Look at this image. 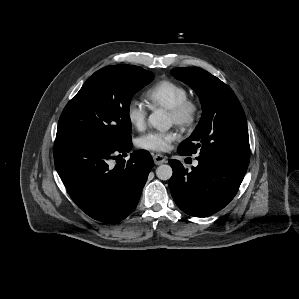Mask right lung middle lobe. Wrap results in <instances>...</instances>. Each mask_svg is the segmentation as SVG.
I'll use <instances>...</instances> for the list:
<instances>
[{
	"instance_id": "1",
	"label": "right lung middle lobe",
	"mask_w": 299,
	"mask_h": 299,
	"mask_svg": "<svg viewBox=\"0 0 299 299\" xmlns=\"http://www.w3.org/2000/svg\"><path fill=\"white\" fill-rule=\"evenodd\" d=\"M154 77L133 65H112L96 71L67 103L55 141L121 146L131 140L132 96Z\"/></svg>"
}]
</instances>
